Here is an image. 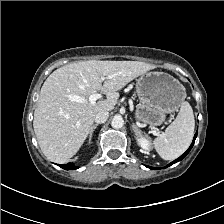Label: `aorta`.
<instances>
[{"label":"aorta","instance_id":"762f6f07","mask_svg":"<svg viewBox=\"0 0 224 224\" xmlns=\"http://www.w3.org/2000/svg\"><path fill=\"white\" fill-rule=\"evenodd\" d=\"M124 125V120L121 116H114V118L111 121V126L115 129H120Z\"/></svg>","mask_w":224,"mask_h":224}]
</instances>
